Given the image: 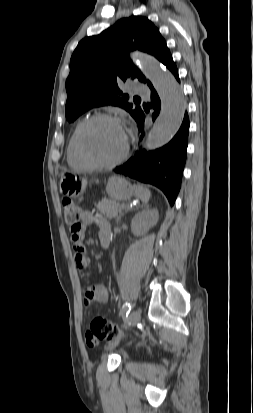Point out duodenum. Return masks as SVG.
<instances>
[{"mask_svg": "<svg viewBox=\"0 0 253 413\" xmlns=\"http://www.w3.org/2000/svg\"><path fill=\"white\" fill-rule=\"evenodd\" d=\"M101 245L104 249H106L109 245V236L108 235H103L101 237Z\"/></svg>", "mask_w": 253, "mask_h": 413, "instance_id": "410a0bca", "label": "duodenum"}]
</instances>
